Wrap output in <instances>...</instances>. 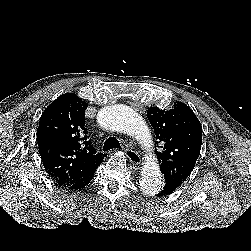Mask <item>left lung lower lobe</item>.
Returning <instances> with one entry per match:
<instances>
[{
    "mask_svg": "<svg viewBox=\"0 0 251 251\" xmlns=\"http://www.w3.org/2000/svg\"><path fill=\"white\" fill-rule=\"evenodd\" d=\"M178 188L173 181L163 182V187L156 194L158 197H165L174 192V190Z\"/></svg>",
    "mask_w": 251,
    "mask_h": 251,
    "instance_id": "1",
    "label": "left lung lower lobe"
}]
</instances>
